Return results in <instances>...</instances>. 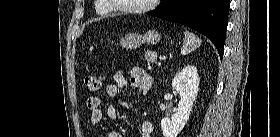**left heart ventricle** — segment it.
Listing matches in <instances>:
<instances>
[{"label":"left heart ventricle","instance_id":"1","mask_svg":"<svg viewBox=\"0 0 280 137\" xmlns=\"http://www.w3.org/2000/svg\"><path fill=\"white\" fill-rule=\"evenodd\" d=\"M120 2L123 7H137L145 5L147 0H121Z\"/></svg>","mask_w":280,"mask_h":137}]
</instances>
